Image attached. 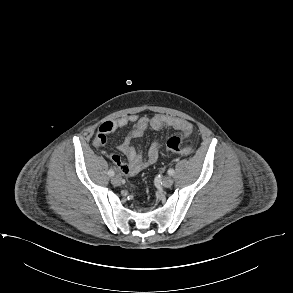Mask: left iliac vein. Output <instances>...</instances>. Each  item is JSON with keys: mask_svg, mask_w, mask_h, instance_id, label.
Listing matches in <instances>:
<instances>
[{"mask_svg": "<svg viewBox=\"0 0 293 293\" xmlns=\"http://www.w3.org/2000/svg\"><path fill=\"white\" fill-rule=\"evenodd\" d=\"M162 184H163L164 187L169 188L173 184V179L171 177H169V176H166V177L163 178Z\"/></svg>", "mask_w": 293, "mask_h": 293, "instance_id": "left-iliac-vein-1", "label": "left iliac vein"}]
</instances>
